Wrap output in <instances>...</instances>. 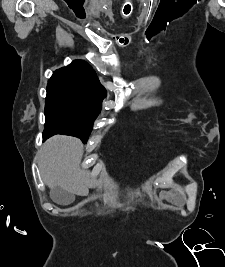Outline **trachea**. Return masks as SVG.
<instances>
[{"label":"trachea","instance_id":"trachea-1","mask_svg":"<svg viewBox=\"0 0 225 267\" xmlns=\"http://www.w3.org/2000/svg\"><path fill=\"white\" fill-rule=\"evenodd\" d=\"M125 8H126V7H124V10H123V11H124L125 14H128V13L125 12Z\"/></svg>","mask_w":225,"mask_h":267}]
</instances>
